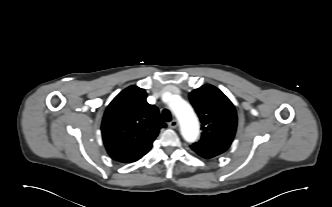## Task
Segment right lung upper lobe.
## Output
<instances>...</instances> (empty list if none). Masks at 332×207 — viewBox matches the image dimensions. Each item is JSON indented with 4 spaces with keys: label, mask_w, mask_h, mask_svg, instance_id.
Instances as JSON below:
<instances>
[{
    "label": "right lung upper lobe",
    "mask_w": 332,
    "mask_h": 207,
    "mask_svg": "<svg viewBox=\"0 0 332 207\" xmlns=\"http://www.w3.org/2000/svg\"><path fill=\"white\" fill-rule=\"evenodd\" d=\"M144 89L130 86L108 105L101 125L108 154L122 163L142 158L152 147L159 130L166 127L156 106L146 101Z\"/></svg>",
    "instance_id": "1"
}]
</instances>
